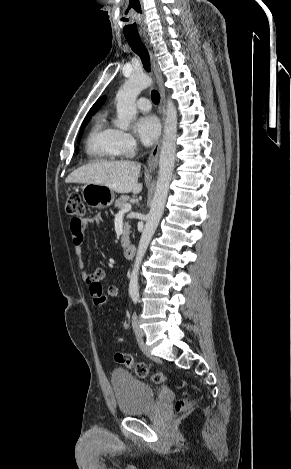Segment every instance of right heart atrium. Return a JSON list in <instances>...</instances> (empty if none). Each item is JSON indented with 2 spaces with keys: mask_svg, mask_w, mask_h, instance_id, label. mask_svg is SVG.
Instances as JSON below:
<instances>
[{
  "mask_svg": "<svg viewBox=\"0 0 291 469\" xmlns=\"http://www.w3.org/2000/svg\"><path fill=\"white\" fill-rule=\"evenodd\" d=\"M117 147L122 155H131L137 148V142L132 134L126 131H116Z\"/></svg>",
  "mask_w": 291,
  "mask_h": 469,
  "instance_id": "right-heart-atrium-1",
  "label": "right heart atrium"
}]
</instances>
